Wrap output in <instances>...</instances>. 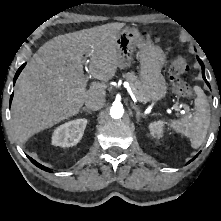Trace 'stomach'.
I'll return each instance as SVG.
<instances>
[{
	"label": "stomach",
	"instance_id": "obj_1",
	"mask_svg": "<svg viewBox=\"0 0 221 221\" xmlns=\"http://www.w3.org/2000/svg\"><path fill=\"white\" fill-rule=\"evenodd\" d=\"M118 66L126 68L132 61V55L137 50V59L140 62V83L144 92L145 101H159L167 94V85L161 74L165 63L163 50L150 40L142 38L137 28H123L116 39Z\"/></svg>",
	"mask_w": 221,
	"mask_h": 221
}]
</instances>
